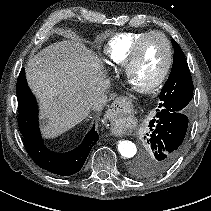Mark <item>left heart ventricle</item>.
<instances>
[{"mask_svg":"<svg viewBox=\"0 0 211 211\" xmlns=\"http://www.w3.org/2000/svg\"><path fill=\"white\" fill-rule=\"evenodd\" d=\"M167 61V47L159 36L148 38L140 51L137 63L132 69L130 81L135 87H146L160 75Z\"/></svg>","mask_w":211,"mask_h":211,"instance_id":"1","label":"left heart ventricle"}]
</instances>
